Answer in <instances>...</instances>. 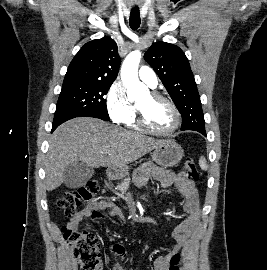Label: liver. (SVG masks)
Wrapping results in <instances>:
<instances>
[{
  "label": "liver",
  "instance_id": "6515ba94",
  "mask_svg": "<svg viewBox=\"0 0 267 270\" xmlns=\"http://www.w3.org/2000/svg\"><path fill=\"white\" fill-rule=\"evenodd\" d=\"M165 141L96 118L69 120L50 138L45 162L46 189L58 188L64 182L65 168L72 163L82 162L91 168H121Z\"/></svg>",
  "mask_w": 267,
  "mask_h": 270
}]
</instances>
